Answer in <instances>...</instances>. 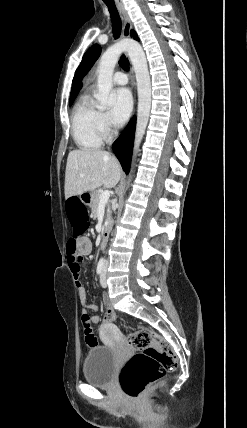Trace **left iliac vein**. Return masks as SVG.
Listing matches in <instances>:
<instances>
[{
	"mask_svg": "<svg viewBox=\"0 0 247 428\" xmlns=\"http://www.w3.org/2000/svg\"><path fill=\"white\" fill-rule=\"evenodd\" d=\"M106 267H107V265H105V266H104L103 273H102L101 278H100V284H101V286H102V287H104V288H106V287H107V281H106Z\"/></svg>",
	"mask_w": 247,
	"mask_h": 428,
	"instance_id": "4c4485c4",
	"label": "left iliac vein"
}]
</instances>
